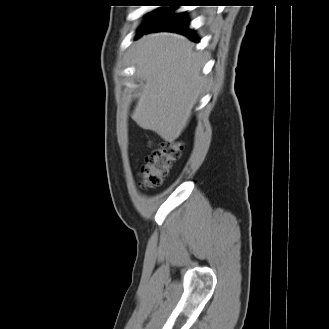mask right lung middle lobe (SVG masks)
Wrapping results in <instances>:
<instances>
[{"mask_svg":"<svg viewBox=\"0 0 329 329\" xmlns=\"http://www.w3.org/2000/svg\"><path fill=\"white\" fill-rule=\"evenodd\" d=\"M162 14V12H158L152 16H150L147 21L141 26L142 27H145V26H149L151 24H153L157 19L158 17Z\"/></svg>","mask_w":329,"mask_h":329,"instance_id":"right-lung-middle-lobe-1","label":"right lung middle lobe"}]
</instances>
